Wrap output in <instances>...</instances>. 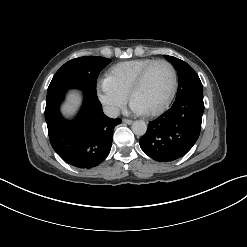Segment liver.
<instances>
[{
	"mask_svg": "<svg viewBox=\"0 0 247 247\" xmlns=\"http://www.w3.org/2000/svg\"><path fill=\"white\" fill-rule=\"evenodd\" d=\"M80 103V97L77 92H71L68 96L67 103L62 107V112L65 115H72Z\"/></svg>",
	"mask_w": 247,
	"mask_h": 247,
	"instance_id": "obj_1",
	"label": "liver"
}]
</instances>
